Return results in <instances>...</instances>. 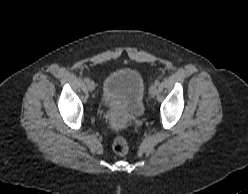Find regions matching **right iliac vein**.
I'll list each match as a JSON object with an SVG mask.
<instances>
[{
	"instance_id": "63e3f726",
	"label": "right iliac vein",
	"mask_w": 248,
	"mask_h": 194,
	"mask_svg": "<svg viewBox=\"0 0 248 194\" xmlns=\"http://www.w3.org/2000/svg\"><path fill=\"white\" fill-rule=\"evenodd\" d=\"M87 88L89 91H93L95 89V84L93 81L87 82Z\"/></svg>"
}]
</instances>
